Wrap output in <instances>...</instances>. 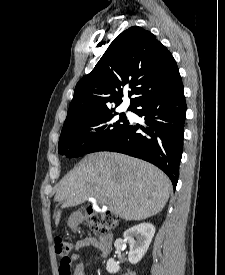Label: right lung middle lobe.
Here are the masks:
<instances>
[{
	"label": "right lung middle lobe",
	"instance_id": "dd1d6c3e",
	"mask_svg": "<svg viewBox=\"0 0 225 275\" xmlns=\"http://www.w3.org/2000/svg\"><path fill=\"white\" fill-rule=\"evenodd\" d=\"M111 111L80 119L62 128L59 153L69 158L97 151L104 143L117 136L129 123L124 113L118 121Z\"/></svg>",
	"mask_w": 225,
	"mask_h": 275
}]
</instances>
